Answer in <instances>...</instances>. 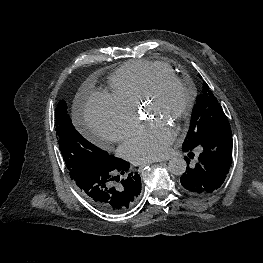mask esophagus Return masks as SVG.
I'll return each instance as SVG.
<instances>
[{
	"mask_svg": "<svg viewBox=\"0 0 263 263\" xmlns=\"http://www.w3.org/2000/svg\"><path fill=\"white\" fill-rule=\"evenodd\" d=\"M159 162H161V161H159ZM151 163H153V162H147V163L141 164L140 168H144L145 166L150 165Z\"/></svg>",
	"mask_w": 263,
	"mask_h": 263,
	"instance_id": "1",
	"label": "esophagus"
}]
</instances>
